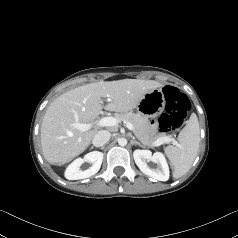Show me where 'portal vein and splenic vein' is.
<instances>
[{
    "mask_svg": "<svg viewBox=\"0 0 238 238\" xmlns=\"http://www.w3.org/2000/svg\"><path fill=\"white\" fill-rule=\"evenodd\" d=\"M119 122L120 121L115 117H104V118H101L100 120H98L95 123V125L99 126V127H113V126H117ZM92 126L93 125L90 123H84V124L75 123L74 124V127H76L77 129H79L82 132L90 130L92 128ZM125 126L129 130L134 129V126L129 122H125ZM169 142H172L174 145H178V143L175 139L170 138V137H165V138L158 139L157 141H155L153 146H160L161 144L169 143Z\"/></svg>",
    "mask_w": 238,
    "mask_h": 238,
    "instance_id": "obj_1",
    "label": "portal vein and splenic vein"
}]
</instances>
